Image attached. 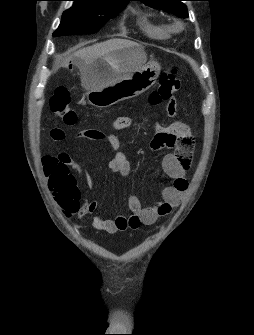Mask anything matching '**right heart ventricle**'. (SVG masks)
I'll return each instance as SVG.
<instances>
[{
  "label": "right heart ventricle",
  "mask_w": 254,
  "mask_h": 335,
  "mask_svg": "<svg viewBox=\"0 0 254 335\" xmlns=\"http://www.w3.org/2000/svg\"><path fill=\"white\" fill-rule=\"evenodd\" d=\"M138 24L141 30L150 38L162 40L167 39L170 35V28L167 25L157 22L146 15L139 19Z\"/></svg>",
  "instance_id": "1"
}]
</instances>
